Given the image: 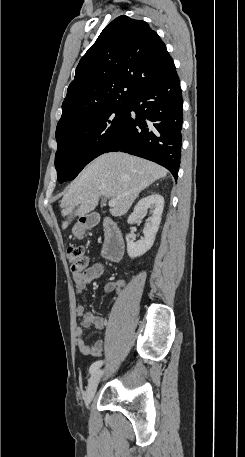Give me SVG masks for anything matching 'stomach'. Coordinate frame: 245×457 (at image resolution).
Segmentation results:
<instances>
[{"mask_svg":"<svg viewBox=\"0 0 245 457\" xmlns=\"http://www.w3.org/2000/svg\"><path fill=\"white\" fill-rule=\"evenodd\" d=\"M91 224H93V222H90L89 216H85L84 220H79V222H76L72 229L74 237H82L85 231L90 229Z\"/></svg>","mask_w":245,"mask_h":457,"instance_id":"stomach-1","label":"stomach"}]
</instances>
